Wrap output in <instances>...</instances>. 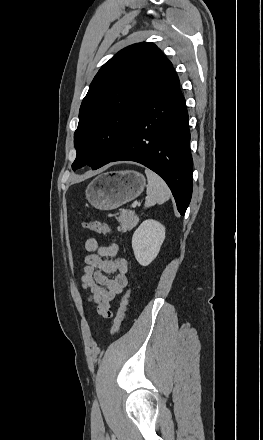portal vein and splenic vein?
I'll return each instance as SVG.
<instances>
[{
  "label": "portal vein and splenic vein",
  "instance_id": "portal-vein-and-splenic-vein-1",
  "mask_svg": "<svg viewBox=\"0 0 263 440\" xmlns=\"http://www.w3.org/2000/svg\"><path fill=\"white\" fill-rule=\"evenodd\" d=\"M137 205H138V202H137V201L134 202V203H132V208H136Z\"/></svg>",
  "mask_w": 263,
  "mask_h": 440
}]
</instances>
